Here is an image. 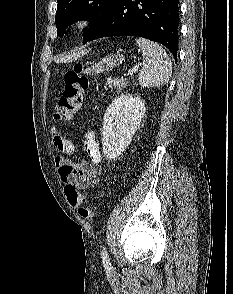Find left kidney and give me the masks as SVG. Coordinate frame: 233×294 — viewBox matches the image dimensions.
I'll return each instance as SVG.
<instances>
[{"label": "left kidney", "mask_w": 233, "mask_h": 294, "mask_svg": "<svg viewBox=\"0 0 233 294\" xmlns=\"http://www.w3.org/2000/svg\"><path fill=\"white\" fill-rule=\"evenodd\" d=\"M145 102L130 94L116 97L103 118L102 148L108 159L120 156L130 144L145 113Z\"/></svg>", "instance_id": "obj_1"}]
</instances>
